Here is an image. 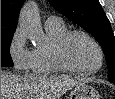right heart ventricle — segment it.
Listing matches in <instances>:
<instances>
[{"label":"right heart ventricle","mask_w":115,"mask_h":99,"mask_svg":"<svg viewBox=\"0 0 115 99\" xmlns=\"http://www.w3.org/2000/svg\"><path fill=\"white\" fill-rule=\"evenodd\" d=\"M68 31L67 26L61 20L46 21V43L37 46L31 51L29 70L35 75H49L63 72L54 58V48L59 38Z\"/></svg>","instance_id":"right-heart-ventricle-1"}]
</instances>
